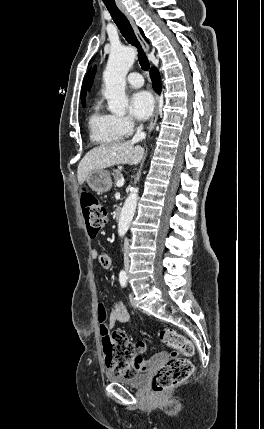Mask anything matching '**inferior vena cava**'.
Masks as SVG:
<instances>
[{
    "mask_svg": "<svg viewBox=\"0 0 264 429\" xmlns=\"http://www.w3.org/2000/svg\"><path fill=\"white\" fill-rule=\"evenodd\" d=\"M145 138H146V133L143 131V125L140 124L136 128V132H135V135L132 139V142L136 143V142H139ZM129 243H130L129 240H124L123 249L125 250L124 251V267H125V270L129 269V258H128V254L130 253L128 251L129 250V247H128Z\"/></svg>",
    "mask_w": 264,
    "mask_h": 429,
    "instance_id": "1",
    "label": "inferior vena cava"
}]
</instances>
